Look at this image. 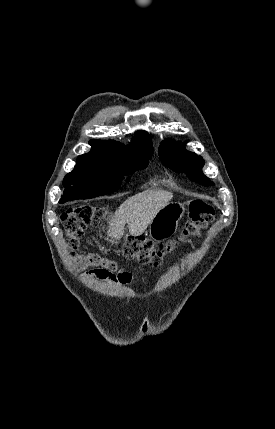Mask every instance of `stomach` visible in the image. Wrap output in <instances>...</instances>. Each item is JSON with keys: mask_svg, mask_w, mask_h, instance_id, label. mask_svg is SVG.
<instances>
[{"mask_svg": "<svg viewBox=\"0 0 275 429\" xmlns=\"http://www.w3.org/2000/svg\"><path fill=\"white\" fill-rule=\"evenodd\" d=\"M185 204L172 202L163 207L149 225V236L154 240H164L176 233L178 222L185 213Z\"/></svg>", "mask_w": 275, "mask_h": 429, "instance_id": "1", "label": "stomach"}]
</instances>
